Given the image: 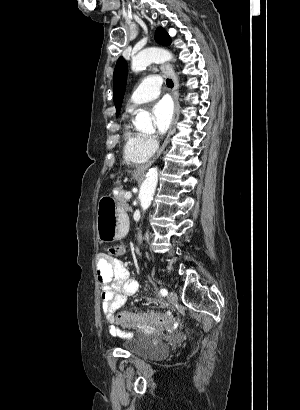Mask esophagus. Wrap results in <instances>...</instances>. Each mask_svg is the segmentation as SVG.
Segmentation results:
<instances>
[{"instance_id": "34e87169", "label": "esophagus", "mask_w": 300, "mask_h": 410, "mask_svg": "<svg viewBox=\"0 0 300 410\" xmlns=\"http://www.w3.org/2000/svg\"><path fill=\"white\" fill-rule=\"evenodd\" d=\"M161 70L163 71V73H165L167 76H169L173 80V83H174L173 98H174V104H175V115L177 116L178 111H179V81H178L177 75L175 74L173 67L170 64H163L161 66ZM175 121H176V118L174 119L172 126L168 132V135L164 143L162 144L161 148L158 150L157 154L155 155V157L147 164L138 167L135 170V173L143 174L154 163V161L160 156V154L163 152V150L167 146L169 139L174 131Z\"/></svg>"}]
</instances>
